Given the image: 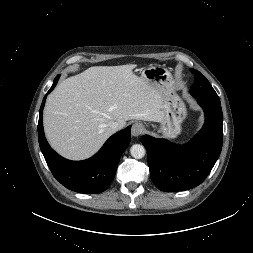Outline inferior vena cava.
Wrapping results in <instances>:
<instances>
[{
  "instance_id": "602c4592",
  "label": "inferior vena cava",
  "mask_w": 253,
  "mask_h": 253,
  "mask_svg": "<svg viewBox=\"0 0 253 253\" xmlns=\"http://www.w3.org/2000/svg\"><path fill=\"white\" fill-rule=\"evenodd\" d=\"M108 126L114 132L117 131L120 128V124L118 122H116V121L110 122L108 124Z\"/></svg>"
}]
</instances>
